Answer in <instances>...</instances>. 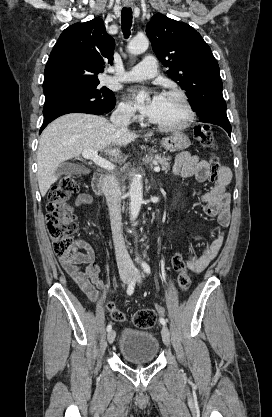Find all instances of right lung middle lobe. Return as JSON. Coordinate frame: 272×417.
Wrapping results in <instances>:
<instances>
[{
  "label": "right lung middle lobe",
  "instance_id": "1",
  "mask_svg": "<svg viewBox=\"0 0 272 417\" xmlns=\"http://www.w3.org/2000/svg\"><path fill=\"white\" fill-rule=\"evenodd\" d=\"M98 84L61 86L43 91L44 117L70 105H92L97 108L112 106L116 102L113 92L106 87L100 88Z\"/></svg>",
  "mask_w": 272,
  "mask_h": 417
}]
</instances>
